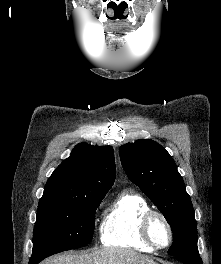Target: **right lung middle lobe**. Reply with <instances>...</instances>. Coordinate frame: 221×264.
Listing matches in <instances>:
<instances>
[{
	"instance_id": "dd1d6c3e",
	"label": "right lung middle lobe",
	"mask_w": 221,
	"mask_h": 264,
	"mask_svg": "<svg viewBox=\"0 0 221 264\" xmlns=\"http://www.w3.org/2000/svg\"><path fill=\"white\" fill-rule=\"evenodd\" d=\"M104 194L80 198L42 197L33 231L31 259L78 248L93 238L95 213Z\"/></svg>"
}]
</instances>
